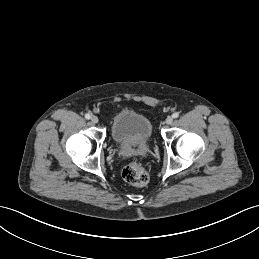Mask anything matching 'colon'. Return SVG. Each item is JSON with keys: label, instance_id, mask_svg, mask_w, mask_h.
Listing matches in <instances>:
<instances>
[{"label": "colon", "instance_id": "colon-1", "mask_svg": "<svg viewBox=\"0 0 259 259\" xmlns=\"http://www.w3.org/2000/svg\"><path fill=\"white\" fill-rule=\"evenodd\" d=\"M124 180L134 186H143L148 182V173L138 161H132L122 171Z\"/></svg>", "mask_w": 259, "mask_h": 259}]
</instances>
